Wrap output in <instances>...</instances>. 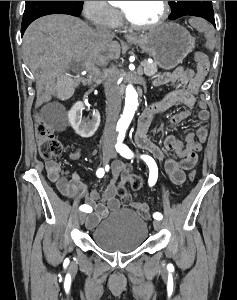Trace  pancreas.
<instances>
[{
    "label": "pancreas",
    "instance_id": "obj_1",
    "mask_svg": "<svg viewBox=\"0 0 237 300\" xmlns=\"http://www.w3.org/2000/svg\"><path fill=\"white\" fill-rule=\"evenodd\" d=\"M146 68L144 69V73L145 75H147V77H152V75H155V73H157L158 69H157V63H147L146 61ZM142 67V64H141Z\"/></svg>",
    "mask_w": 237,
    "mask_h": 300
}]
</instances>
